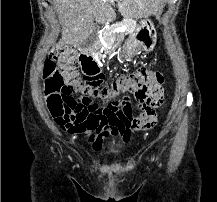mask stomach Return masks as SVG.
Returning a JSON list of instances; mask_svg holds the SVG:
<instances>
[{
  "mask_svg": "<svg viewBox=\"0 0 217 202\" xmlns=\"http://www.w3.org/2000/svg\"><path fill=\"white\" fill-rule=\"evenodd\" d=\"M157 32L152 20H141L133 34L123 44V58H134L138 52H152L156 46Z\"/></svg>",
  "mask_w": 217,
  "mask_h": 202,
  "instance_id": "0dacf381",
  "label": "stomach"
}]
</instances>
